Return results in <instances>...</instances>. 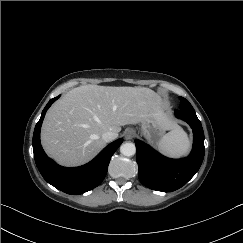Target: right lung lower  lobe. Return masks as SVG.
I'll use <instances>...</instances> for the list:
<instances>
[{
	"label": "right lung lower lobe",
	"mask_w": 243,
	"mask_h": 243,
	"mask_svg": "<svg viewBox=\"0 0 243 243\" xmlns=\"http://www.w3.org/2000/svg\"><path fill=\"white\" fill-rule=\"evenodd\" d=\"M58 97L51 99L45 106L33 134V151L36 165L43 178L57 189L79 195L94 189L105 178L110 159L123 142L120 138L104 148L91 162L81 167L65 168L57 165L44 152L40 143V128L46 111Z\"/></svg>",
	"instance_id": "right-lung-lower-lobe-1"
}]
</instances>
